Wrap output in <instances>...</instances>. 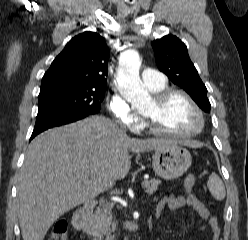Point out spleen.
Returning a JSON list of instances; mask_svg holds the SVG:
<instances>
[{"label":"spleen","instance_id":"3e777b00","mask_svg":"<svg viewBox=\"0 0 248 240\" xmlns=\"http://www.w3.org/2000/svg\"><path fill=\"white\" fill-rule=\"evenodd\" d=\"M208 189L211 192L212 196L216 200H223L226 195L225 187L220 179V177L216 173H212L209 176V180L207 183Z\"/></svg>","mask_w":248,"mask_h":240}]
</instances>
